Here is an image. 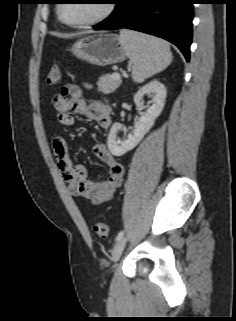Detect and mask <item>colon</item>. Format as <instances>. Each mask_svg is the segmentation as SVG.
I'll return each instance as SVG.
<instances>
[{
	"mask_svg": "<svg viewBox=\"0 0 236 321\" xmlns=\"http://www.w3.org/2000/svg\"><path fill=\"white\" fill-rule=\"evenodd\" d=\"M61 80V69L58 66H53L47 74L46 83L49 86L57 85ZM94 232L100 237H106L108 234L107 225L102 221H97L93 224Z\"/></svg>",
	"mask_w": 236,
	"mask_h": 321,
	"instance_id": "obj_1",
	"label": "colon"
}]
</instances>
